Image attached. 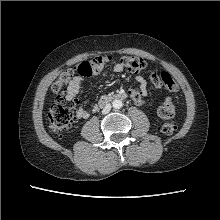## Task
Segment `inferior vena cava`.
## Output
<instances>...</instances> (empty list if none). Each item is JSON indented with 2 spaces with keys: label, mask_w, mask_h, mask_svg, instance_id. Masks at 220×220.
Returning <instances> with one entry per match:
<instances>
[{
  "label": "inferior vena cava",
  "mask_w": 220,
  "mask_h": 220,
  "mask_svg": "<svg viewBox=\"0 0 220 220\" xmlns=\"http://www.w3.org/2000/svg\"><path fill=\"white\" fill-rule=\"evenodd\" d=\"M111 110V104H106L102 110L103 114H107Z\"/></svg>",
  "instance_id": "inferior-vena-cava-1"
}]
</instances>
